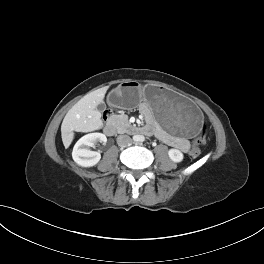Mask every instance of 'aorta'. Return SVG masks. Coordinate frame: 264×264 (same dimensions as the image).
I'll list each match as a JSON object with an SVG mask.
<instances>
[{
  "instance_id": "1",
  "label": "aorta",
  "mask_w": 264,
  "mask_h": 264,
  "mask_svg": "<svg viewBox=\"0 0 264 264\" xmlns=\"http://www.w3.org/2000/svg\"><path fill=\"white\" fill-rule=\"evenodd\" d=\"M133 139H134L135 142H141V141H143V136H141V135H135L133 137Z\"/></svg>"
}]
</instances>
